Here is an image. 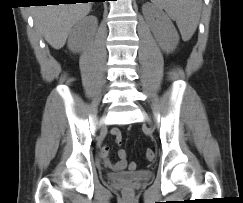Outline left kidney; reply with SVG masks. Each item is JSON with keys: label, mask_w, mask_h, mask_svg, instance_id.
I'll return each mask as SVG.
<instances>
[{"label": "left kidney", "mask_w": 243, "mask_h": 203, "mask_svg": "<svg viewBox=\"0 0 243 203\" xmlns=\"http://www.w3.org/2000/svg\"><path fill=\"white\" fill-rule=\"evenodd\" d=\"M142 10L159 46L166 52L173 51L179 42V35L169 17L150 4L143 5Z\"/></svg>", "instance_id": "left-kidney-1"}]
</instances>
